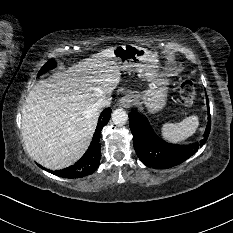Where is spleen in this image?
<instances>
[{
	"label": "spleen",
	"instance_id": "spleen-1",
	"mask_svg": "<svg viewBox=\"0 0 233 233\" xmlns=\"http://www.w3.org/2000/svg\"><path fill=\"white\" fill-rule=\"evenodd\" d=\"M199 126V117L193 114L179 123L164 124L161 135L169 142L179 143L191 137Z\"/></svg>",
	"mask_w": 233,
	"mask_h": 233
}]
</instances>
